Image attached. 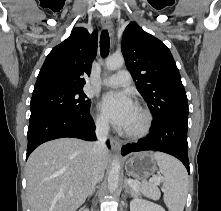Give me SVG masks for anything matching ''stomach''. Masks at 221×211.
<instances>
[{"label": "stomach", "mask_w": 221, "mask_h": 211, "mask_svg": "<svg viewBox=\"0 0 221 211\" xmlns=\"http://www.w3.org/2000/svg\"><path fill=\"white\" fill-rule=\"evenodd\" d=\"M125 170L130 176L146 179L157 170V162L152 152H139L126 161Z\"/></svg>", "instance_id": "1"}]
</instances>
